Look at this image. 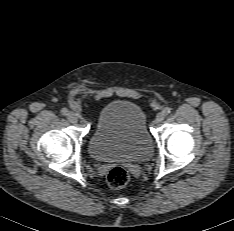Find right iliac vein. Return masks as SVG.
<instances>
[{
  "mask_svg": "<svg viewBox=\"0 0 234 231\" xmlns=\"http://www.w3.org/2000/svg\"><path fill=\"white\" fill-rule=\"evenodd\" d=\"M68 120L71 122V123H77L78 122V117L75 113L73 112H70L68 114Z\"/></svg>",
  "mask_w": 234,
  "mask_h": 231,
  "instance_id": "63e3f726",
  "label": "right iliac vein"
}]
</instances>
